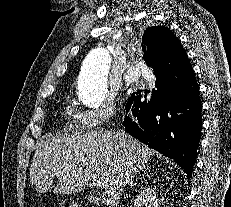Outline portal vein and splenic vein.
I'll return each instance as SVG.
<instances>
[{"instance_id": "1", "label": "portal vein and splenic vein", "mask_w": 231, "mask_h": 207, "mask_svg": "<svg viewBox=\"0 0 231 207\" xmlns=\"http://www.w3.org/2000/svg\"><path fill=\"white\" fill-rule=\"evenodd\" d=\"M92 186L97 187V188H100V187H101V182L94 181V182L92 183Z\"/></svg>"}]
</instances>
